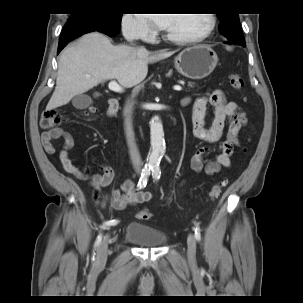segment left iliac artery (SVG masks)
<instances>
[{
    "label": "left iliac artery",
    "instance_id": "1",
    "mask_svg": "<svg viewBox=\"0 0 303 303\" xmlns=\"http://www.w3.org/2000/svg\"><path fill=\"white\" fill-rule=\"evenodd\" d=\"M152 176L155 181H158L160 179L161 171H160L159 166L152 167ZM194 231H195V238L197 241H199L201 238V232H200L201 230L197 223H195Z\"/></svg>",
    "mask_w": 303,
    "mask_h": 303
}]
</instances>
